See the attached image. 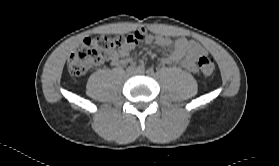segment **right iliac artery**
Listing matches in <instances>:
<instances>
[{
	"label": "right iliac artery",
	"instance_id": "obj_1",
	"mask_svg": "<svg viewBox=\"0 0 279 166\" xmlns=\"http://www.w3.org/2000/svg\"><path fill=\"white\" fill-rule=\"evenodd\" d=\"M137 71L143 73V72L145 71L144 65H143V64L139 65V66L137 67Z\"/></svg>",
	"mask_w": 279,
	"mask_h": 166
}]
</instances>
